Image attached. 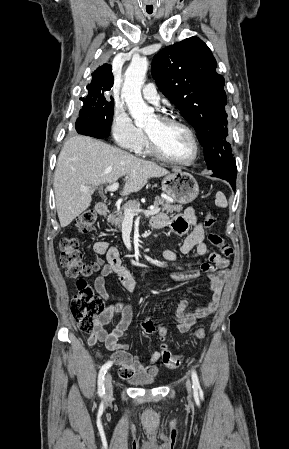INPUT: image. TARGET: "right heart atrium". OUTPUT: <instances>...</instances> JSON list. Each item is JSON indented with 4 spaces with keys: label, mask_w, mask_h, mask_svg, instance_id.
Masks as SVG:
<instances>
[{
    "label": "right heart atrium",
    "mask_w": 289,
    "mask_h": 449,
    "mask_svg": "<svg viewBox=\"0 0 289 449\" xmlns=\"http://www.w3.org/2000/svg\"><path fill=\"white\" fill-rule=\"evenodd\" d=\"M111 131L115 143L130 151H138L145 140L143 131L134 124L129 114L121 107L114 109Z\"/></svg>",
    "instance_id": "d8ad5b80"
}]
</instances>
